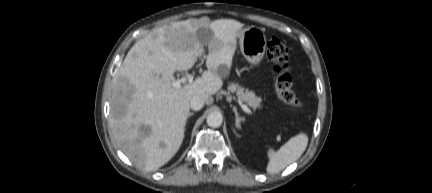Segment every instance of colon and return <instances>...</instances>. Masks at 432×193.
I'll use <instances>...</instances> for the list:
<instances>
[{
    "label": "colon",
    "instance_id": "colon-1",
    "mask_svg": "<svg viewBox=\"0 0 432 193\" xmlns=\"http://www.w3.org/2000/svg\"><path fill=\"white\" fill-rule=\"evenodd\" d=\"M267 55L273 62V72L276 74L275 88L279 100L285 105L301 108L303 103L292 90L287 47L278 38L274 37L268 42Z\"/></svg>",
    "mask_w": 432,
    "mask_h": 193
}]
</instances>
